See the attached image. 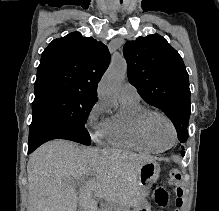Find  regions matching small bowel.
<instances>
[{
	"mask_svg": "<svg viewBox=\"0 0 219 211\" xmlns=\"http://www.w3.org/2000/svg\"><path fill=\"white\" fill-rule=\"evenodd\" d=\"M156 199L160 206H165L168 201V195L164 191H158L156 194Z\"/></svg>",
	"mask_w": 219,
	"mask_h": 211,
	"instance_id": "small-bowel-1",
	"label": "small bowel"
}]
</instances>
